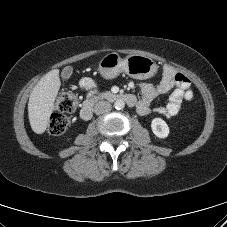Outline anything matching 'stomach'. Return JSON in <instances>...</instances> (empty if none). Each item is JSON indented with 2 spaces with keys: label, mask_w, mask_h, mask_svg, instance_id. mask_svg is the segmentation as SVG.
<instances>
[{
  "label": "stomach",
  "mask_w": 227,
  "mask_h": 227,
  "mask_svg": "<svg viewBox=\"0 0 227 227\" xmlns=\"http://www.w3.org/2000/svg\"><path fill=\"white\" fill-rule=\"evenodd\" d=\"M157 69L150 57L133 54L122 59L116 52L105 55L98 64L99 73L106 79H113L121 72L134 79H148L156 74Z\"/></svg>",
  "instance_id": "1"
}]
</instances>
